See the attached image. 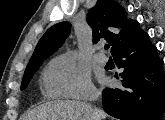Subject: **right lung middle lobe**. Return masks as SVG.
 Wrapping results in <instances>:
<instances>
[{
  "label": "right lung middle lobe",
  "mask_w": 165,
  "mask_h": 120,
  "mask_svg": "<svg viewBox=\"0 0 165 120\" xmlns=\"http://www.w3.org/2000/svg\"><path fill=\"white\" fill-rule=\"evenodd\" d=\"M43 60L37 61V62L29 65L26 68L25 73H24V77H23V80H22V84H21V90L25 89L28 86L32 76L38 70V68L41 66Z\"/></svg>",
  "instance_id": "dd1d6c3e"
}]
</instances>
